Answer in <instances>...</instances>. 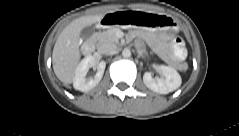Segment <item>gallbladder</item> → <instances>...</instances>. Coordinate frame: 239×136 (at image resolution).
Listing matches in <instances>:
<instances>
[{
	"label": "gallbladder",
	"mask_w": 239,
	"mask_h": 136,
	"mask_svg": "<svg viewBox=\"0 0 239 136\" xmlns=\"http://www.w3.org/2000/svg\"><path fill=\"white\" fill-rule=\"evenodd\" d=\"M93 32V28L91 26H87L81 31V35L83 36V38L87 39L92 36Z\"/></svg>",
	"instance_id": "gallbladder-1"
}]
</instances>
